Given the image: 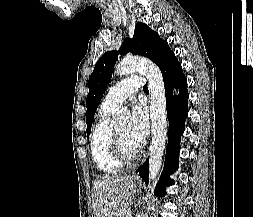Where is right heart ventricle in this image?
Here are the masks:
<instances>
[{"label":"right heart ventricle","instance_id":"right-heart-ventricle-1","mask_svg":"<svg viewBox=\"0 0 253 217\" xmlns=\"http://www.w3.org/2000/svg\"><path fill=\"white\" fill-rule=\"evenodd\" d=\"M113 110L101 107L90 136V152L97 169L106 174L119 173L124 163L116 159L110 149L111 125Z\"/></svg>","mask_w":253,"mask_h":217}]
</instances>
